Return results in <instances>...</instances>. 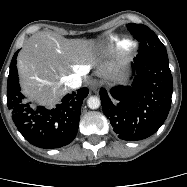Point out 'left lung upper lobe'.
<instances>
[{"mask_svg":"<svg viewBox=\"0 0 187 187\" xmlns=\"http://www.w3.org/2000/svg\"><path fill=\"white\" fill-rule=\"evenodd\" d=\"M127 28L142 44L139 54L148 57L168 59L165 46L149 27L142 24L130 23L127 25Z\"/></svg>","mask_w":187,"mask_h":187,"instance_id":"left-lung-upper-lobe-1","label":"left lung upper lobe"}]
</instances>
